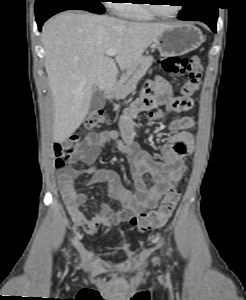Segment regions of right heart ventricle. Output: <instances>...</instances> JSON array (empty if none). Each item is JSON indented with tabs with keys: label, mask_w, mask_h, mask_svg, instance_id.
<instances>
[{
	"label": "right heart ventricle",
	"mask_w": 246,
	"mask_h": 300,
	"mask_svg": "<svg viewBox=\"0 0 246 300\" xmlns=\"http://www.w3.org/2000/svg\"><path fill=\"white\" fill-rule=\"evenodd\" d=\"M142 0H126L116 6V13L122 17L137 21H152L155 19Z\"/></svg>",
	"instance_id": "e07e8e85"
}]
</instances>
